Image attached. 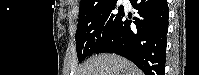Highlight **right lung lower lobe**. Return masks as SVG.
Masks as SVG:
<instances>
[{
  "label": "right lung lower lobe",
  "instance_id": "98d812e1",
  "mask_svg": "<svg viewBox=\"0 0 199 75\" xmlns=\"http://www.w3.org/2000/svg\"><path fill=\"white\" fill-rule=\"evenodd\" d=\"M138 11L131 21L125 13L95 53H116L132 61L146 75H164L168 5L166 0H130Z\"/></svg>",
  "mask_w": 199,
  "mask_h": 75
}]
</instances>
